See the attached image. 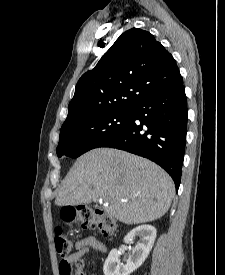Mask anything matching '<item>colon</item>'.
Listing matches in <instances>:
<instances>
[{
	"mask_svg": "<svg viewBox=\"0 0 225 275\" xmlns=\"http://www.w3.org/2000/svg\"><path fill=\"white\" fill-rule=\"evenodd\" d=\"M62 218L66 221L76 220L78 225L85 229H94L103 235L115 233L118 229L116 220L96 208L91 206H79L75 209H65L62 211ZM56 252L65 257L73 247L70 239L58 231L54 238ZM61 275H83L81 264L73 265L70 261L63 259L60 262Z\"/></svg>",
	"mask_w": 225,
	"mask_h": 275,
	"instance_id": "colon-1",
	"label": "colon"
}]
</instances>
